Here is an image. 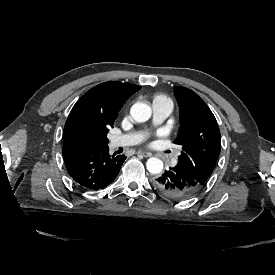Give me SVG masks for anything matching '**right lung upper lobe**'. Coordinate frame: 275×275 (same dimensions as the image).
<instances>
[{"label":"right lung upper lobe","mask_w":275,"mask_h":275,"mask_svg":"<svg viewBox=\"0 0 275 275\" xmlns=\"http://www.w3.org/2000/svg\"><path fill=\"white\" fill-rule=\"evenodd\" d=\"M139 86L116 81L99 84L85 93L73 106L63 132V147L72 146L75 129L88 122H114L123 103Z\"/></svg>","instance_id":"1"}]
</instances>
